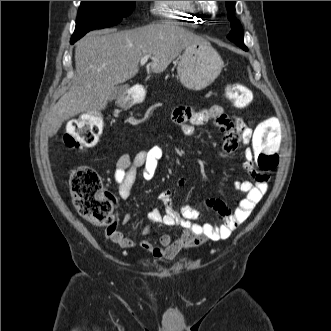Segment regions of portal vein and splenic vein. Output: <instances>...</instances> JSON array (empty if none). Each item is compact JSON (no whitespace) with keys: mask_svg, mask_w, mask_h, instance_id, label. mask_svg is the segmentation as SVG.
I'll return each mask as SVG.
<instances>
[{"mask_svg":"<svg viewBox=\"0 0 331 331\" xmlns=\"http://www.w3.org/2000/svg\"><path fill=\"white\" fill-rule=\"evenodd\" d=\"M149 58H150L149 55H145L144 57L141 58L140 64L144 65L148 61Z\"/></svg>","mask_w":331,"mask_h":331,"instance_id":"obj_1","label":"portal vein and splenic vein"}]
</instances>
